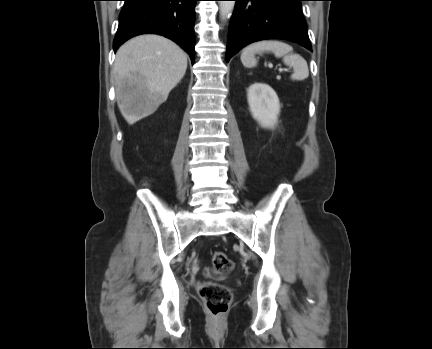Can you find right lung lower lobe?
Listing matches in <instances>:
<instances>
[{
	"label": "right lung lower lobe",
	"mask_w": 432,
	"mask_h": 349,
	"mask_svg": "<svg viewBox=\"0 0 432 349\" xmlns=\"http://www.w3.org/2000/svg\"><path fill=\"white\" fill-rule=\"evenodd\" d=\"M114 51L128 39L145 33L165 36L179 44L194 63L195 4L198 0H124Z\"/></svg>",
	"instance_id": "1"
}]
</instances>
